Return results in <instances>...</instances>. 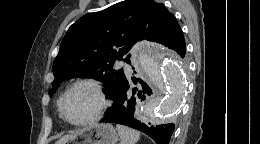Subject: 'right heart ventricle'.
I'll use <instances>...</instances> for the list:
<instances>
[{"label":"right heart ventricle","mask_w":260,"mask_h":144,"mask_svg":"<svg viewBox=\"0 0 260 144\" xmlns=\"http://www.w3.org/2000/svg\"><path fill=\"white\" fill-rule=\"evenodd\" d=\"M62 96H63V95L60 96V98L58 99V103H57L59 112H60V101H61ZM60 116H61V114H60Z\"/></svg>","instance_id":"right-heart-ventricle-1"}]
</instances>
